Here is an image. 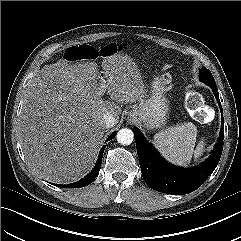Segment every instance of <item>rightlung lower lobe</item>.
<instances>
[{
	"label": "right lung lower lobe",
	"mask_w": 241,
	"mask_h": 241,
	"mask_svg": "<svg viewBox=\"0 0 241 241\" xmlns=\"http://www.w3.org/2000/svg\"><path fill=\"white\" fill-rule=\"evenodd\" d=\"M115 135H116V133L113 132L106 141L113 139L115 137ZM103 149H104V147H102V149L100 151V154L98 156V160H97V163H96L94 169L86 177H84L80 181L72 183V184L56 185V186L62 187V188H80V187L89 185L99 174V171L101 168V163H102V156H103V152H104Z\"/></svg>",
	"instance_id": "right-lung-lower-lobe-1"
}]
</instances>
